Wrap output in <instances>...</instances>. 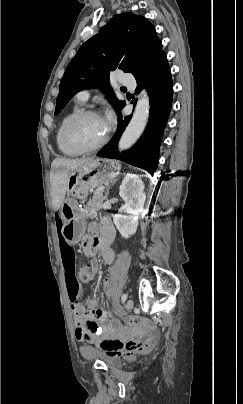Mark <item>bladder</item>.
Returning <instances> with one entry per match:
<instances>
[{
  "label": "bladder",
  "instance_id": "bladder-1",
  "mask_svg": "<svg viewBox=\"0 0 243 404\" xmlns=\"http://www.w3.org/2000/svg\"><path fill=\"white\" fill-rule=\"evenodd\" d=\"M79 352L81 356L87 360H101L110 367H118L122 364V359L119 356L107 354L91 345H81Z\"/></svg>",
  "mask_w": 243,
  "mask_h": 404
}]
</instances>
